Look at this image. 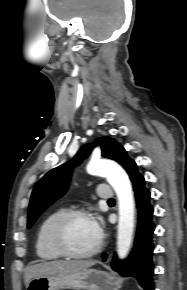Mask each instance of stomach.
Here are the masks:
<instances>
[{"mask_svg":"<svg viewBox=\"0 0 187 290\" xmlns=\"http://www.w3.org/2000/svg\"><path fill=\"white\" fill-rule=\"evenodd\" d=\"M122 281L105 271L87 268L75 272H59L30 281L27 290H119Z\"/></svg>","mask_w":187,"mask_h":290,"instance_id":"0dacf381","label":"stomach"}]
</instances>
